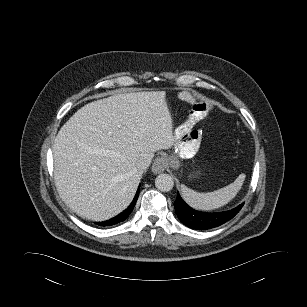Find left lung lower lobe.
Listing matches in <instances>:
<instances>
[{
    "label": "left lung lower lobe",
    "mask_w": 307,
    "mask_h": 307,
    "mask_svg": "<svg viewBox=\"0 0 307 307\" xmlns=\"http://www.w3.org/2000/svg\"><path fill=\"white\" fill-rule=\"evenodd\" d=\"M244 203L237 207L218 213H206L192 209L177 194L174 207L178 218L183 224L195 230H207L224 224L231 220L243 207Z\"/></svg>",
    "instance_id": "0a47b994"
}]
</instances>
